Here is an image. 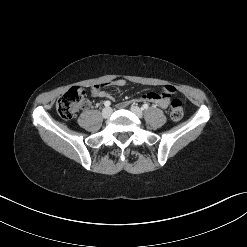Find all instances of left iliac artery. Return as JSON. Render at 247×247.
I'll use <instances>...</instances> for the list:
<instances>
[{
	"label": "left iliac artery",
	"mask_w": 247,
	"mask_h": 247,
	"mask_svg": "<svg viewBox=\"0 0 247 247\" xmlns=\"http://www.w3.org/2000/svg\"><path fill=\"white\" fill-rule=\"evenodd\" d=\"M148 107H149L148 104H143V105H142V109H143V110H144V109H148Z\"/></svg>",
	"instance_id": "left-iliac-artery-1"
}]
</instances>
